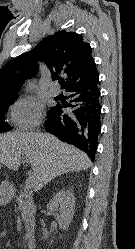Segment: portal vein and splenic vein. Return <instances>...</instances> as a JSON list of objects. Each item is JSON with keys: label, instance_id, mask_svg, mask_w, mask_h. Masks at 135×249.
<instances>
[{"label": "portal vein and splenic vein", "instance_id": "1", "mask_svg": "<svg viewBox=\"0 0 135 249\" xmlns=\"http://www.w3.org/2000/svg\"><path fill=\"white\" fill-rule=\"evenodd\" d=\"M25 162H28V160L26 159ZM33 183H34V175L30 174L26 179V187L31 188L33 186Z\"/></svg>", "mask_w": 135, "mask_h": 249}]
</instances>
